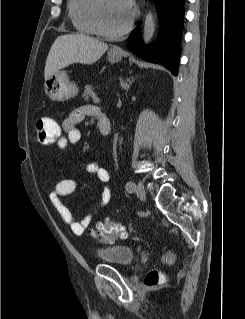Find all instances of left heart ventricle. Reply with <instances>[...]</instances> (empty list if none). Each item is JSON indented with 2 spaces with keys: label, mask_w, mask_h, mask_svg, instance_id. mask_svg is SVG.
I'll return each instance as SVG.
<instances>
[{
  "label": "left heart ventricle",
  "mask_w": 245,
  "mask_h": 319,
  "mask_svg": "<svg viewBox=\"0 0 245 319\" xmlns=\"http://www.w3.org/2000/svg\"><path fill=\"white\" fill-rule=\"evenodd\" d=\"M130 14L121 7L118 0H103V21L108 29H121L127 23Z\"/></svg>",
  "instance_id": "obj_1"
}]
</instances>
